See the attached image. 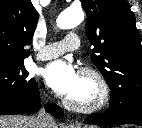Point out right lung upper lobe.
<instances>
[{"label": "right lung upper lobe", "instance_id": "cb5924a9", "mask_svg": "<svg viewBox=\"0 0 142 128\" xmlns=\"http://www.w3.org/2000/svg\"><path fill=\"white\" fill-rule=\"evenodd\" d=\"M37 21L31 0H0V65L23 64Z\"/></svg>", "mask_w": 142, "mask_h": 128}]
</instances>
